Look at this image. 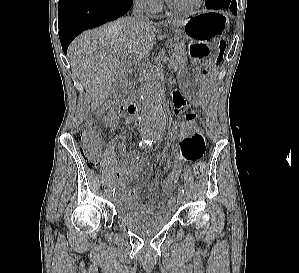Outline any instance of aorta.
<instances>
[{
	"label": "aorta",
	"instance_id": "762f6f07",
	"mask_svg": "<svg viewBox=\"0 0 299 273\" xmlns=\"http://www.w3.org/2000/svg\"><path fill=\"white\" fill-rule=\"evenodd\" d=\"M158 75V68L152 65L141 79L143 108L139 127L144 141H153L159 138L166 125L159 92Z\"/></svg>",
	"mask_w": 299,
	"mask_h": 273
}]
</instances>
